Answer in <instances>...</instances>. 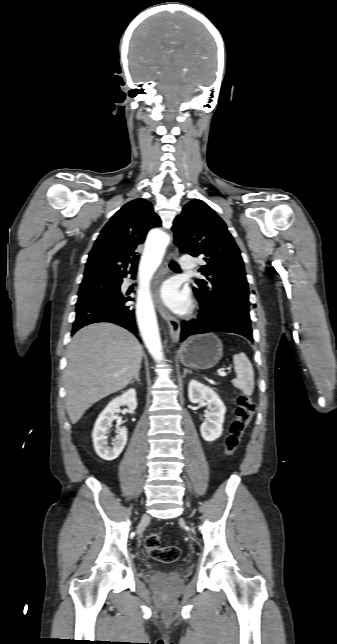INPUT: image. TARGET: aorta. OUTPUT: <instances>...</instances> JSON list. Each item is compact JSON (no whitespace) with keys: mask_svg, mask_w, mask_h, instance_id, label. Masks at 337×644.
Returning <instances> with one entry per match:
<instances>
[{"mask_svg":"<svg viewBox=\"0 0 337 644\" xmlns=\"http://www.w3.org/2000/svg\"><path fill=\"white\" fill-rule=\"evenodd\" d=\"M168 236L160 235L156 249L147 248L139 265V288L136 304V316L143 341L156 362L163 360L162 344L157 325L156 314L150 294V280L161 262L164 246Z\"/></svg>","mask_w":337,"mask_h":644,"instance_id":"obj_1","label":"aorta"}]
</instances>
